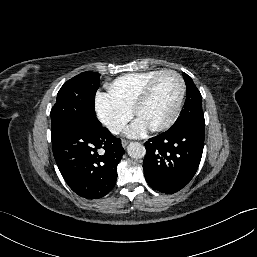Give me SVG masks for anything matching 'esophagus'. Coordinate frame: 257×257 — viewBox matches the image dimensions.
I'll return each mask as SVG.
<instances>
[{
	"label": "esophagus",
	"mask_w": 257,
	"mask_h": 257,
	"mask_svg": "<svg viewBox=\"0 0 257 257\" xmlns=\"http://www.w3.org/2000/svg\"><path fill=\"white\" fill-rule=\"evenodd\" d=\"M121 144H122V146L125 148V147L129 144V141L123 139V140L121 141Z\"/></svg>",
	"instance_id": "1"
}]
</instances>
